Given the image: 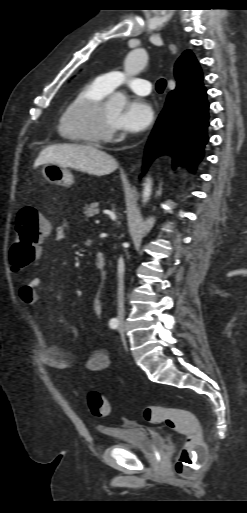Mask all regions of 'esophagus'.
Segmentation results:
<instances>
[{"label": "esophagus", "mask_w": 247, "mask_h": 513, "mask_svg": "<svg viewBox=\"0 0 247 513\" xmlns=\"http://www.w3.org/2000/svg\"><path fill=\"white\" fill-rule=\"evenodd\" d=\"M134 169H135V165H133V167H132L131 171H134Z\"/></svg>", "instance_id": "1"}]
</instances>
